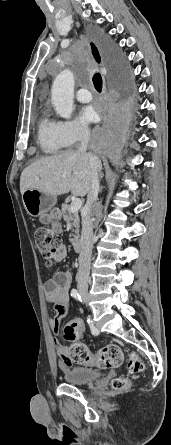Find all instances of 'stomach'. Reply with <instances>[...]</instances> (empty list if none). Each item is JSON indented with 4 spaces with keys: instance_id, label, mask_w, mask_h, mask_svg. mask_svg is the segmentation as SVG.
Masks as SVG:
<instances>
[{
    "instance_id": "1",
    "label": "stomach",
    "mask_w": 171,
    "mask_h": 445,
    "mask_svg": "<svg viewBox=\"0 0 171 445\" xmlns=\"http://www.w3.org/2000/svg\"><path fill=\"white\" fill-rule=\"evenodd\" d=\"M22 200L27 213L30 216L38 217L50 212V218L58 220L60 218L59 210L54 208L57 198L45 194L36 189H27L22 194Z\"/></svg>"
}]
</instances>
